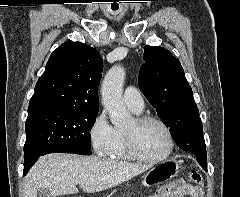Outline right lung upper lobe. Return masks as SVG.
<instances>
[{
  "mask_svg": "<svg viewBox=\"0 0 240 197\" xmlns=\"http://www.w3.org/2000/svg\"><path fill=\"white\" fill-rule=\"evenodd\" d=\"M103 61L91 46L66 41L50 56L36 83L28 112L42 109L98 110Z\"/></svg>",
  "mask_w": 240,
  "mask_h": 197,
  "instance_id": "cb5924a9",
  "label": "right lung upper lobe"
}]
</instances>
